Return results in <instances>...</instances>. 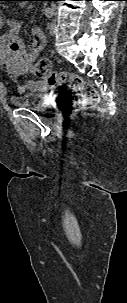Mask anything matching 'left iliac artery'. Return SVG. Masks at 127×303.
<instances>
[{"label": "left iliac artery", "instance_id": "obj_1", "mask_svg": "<svg viewBox=\"0 0 127 303\" xmlns=\"http://www.w3.org/2000/svg\"><path fill=\"white\" fill-rule=\"evenodd\" d=\"M53 14H54L53 9H51L49 7L45 9V16L46 17L51 18L53 16Z\"/></svg>", "mask_w": 127, "mask_h": 303}]
</instances>
